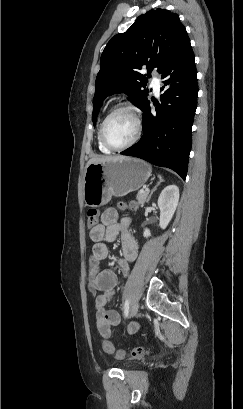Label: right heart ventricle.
<instances>
[{"label":"right heart ventricle","instance_id":"1","mask_svg":"<svg viewBox=\"0 0 243 409\" xmlns=\"http://www.w3.org/2000/svg\"><path fill=\"white\" fill-rule=\"evenodd\" d=\"M97 143H98V148L102 153H106V154L111 153V150L105 147L100 139V129H98V132H97Z\"/></svg>","mask_w":243,"mask_h":409}]
</instances>
